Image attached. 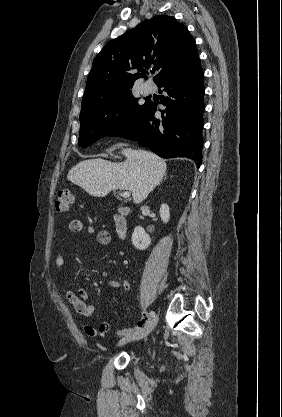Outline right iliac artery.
<instances>
[{"label": "right iliac artery", "mask_w": 282, "mask_h": 417, "mask_svg": "<svg viewBox=\"0 0 282 417\" xmlns=\"http://www.w3.org/2000/svg\"><path fill=\"white\" fill-rule=\"evenodd\" d=\"M149 315H150V317H155V312L154 311H150L149 312ZM133 330L134 331H137L138 328H134ZM124 332H126V329H123V330L118 331L117 334H123Z\"/></svg>", "instance_id": "82829eb1"}]
</instances>
